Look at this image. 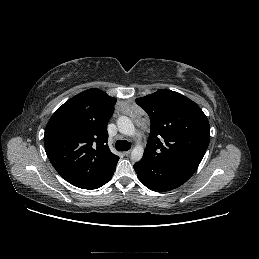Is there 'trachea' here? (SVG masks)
<instances>
[{"mask_svg": "<svg viewBox=\"0 0 259 259\" xmlns=\"http://www.w3.org/2000/svg\"><path fill=\"white\" fill-rule=\"evenodd\" d=\"M118 151H127L131 148V144L126 140H118L115 144Z\"/></svg>", "mask_w": 259, "mask_h": 259, "instance_id": "1", "label": "trachea"}]
</instances>
